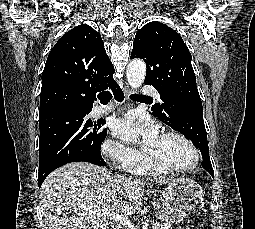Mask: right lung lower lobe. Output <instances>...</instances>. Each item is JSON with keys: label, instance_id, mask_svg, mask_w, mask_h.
Listing matches in <instances>:
<instances>
[{"label": "right lung lower lobe", "instance_id": "obj_1", "mask_svg": "<svg viewBox=\"0 0 255 229\" xmlns=\"http://www.w3.org/2000/svg\"><path fill=\"white\" fill-rule=\"evenodd\" d=\"M113 92H114L115 99H117L118 101H122L124 99V94L118 86L113 89ZM93 164L105 166V162L103 159L100 161H95ZM48 174L49 173H39V175H38L39 187L42 185L43 181L45 180V178L47 177Z\"/></svg>", "mask_w": 255, "mask_h": 229}]
</instances>
